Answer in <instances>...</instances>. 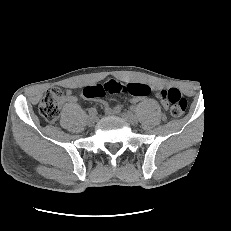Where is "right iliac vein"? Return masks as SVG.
<instances>
[{
	"instance_id": "63e3f726",
	"label": "right iliac vein",
	"mask_w": 231,
	"mask_h": 231,
	"mask_svg": "<svg viewBox=\"0 0 231 231\" xmlns=\"http://www.w3.org/2000/svg\"><path fill=\"white\" fill-rule=\"evenodd\" d=\"M97 121V117L95 115H89L88 116V124L94 125Z\"/></svg>"
}]
</instances>
